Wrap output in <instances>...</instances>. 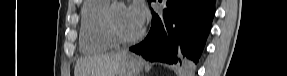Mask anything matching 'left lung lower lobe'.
<instances>
[{
	"label": "left lung lower lobe",
	"instance_id": "obj_1",
	"mask_svg": "<svg viewBox=\"0 0 287 76\" xmlns=\"http://www.w3.org/2000/svg\"><path fill=\"white\" fill-rule=\"evenodd\" d=\"M167 6L161 15L152 12L149 34L129 50L149 61L193 67L209 34L215 0H168Z\"/></svg>",
	"mask_w": 287,
	"mask_h": 76
}]
</instances>
